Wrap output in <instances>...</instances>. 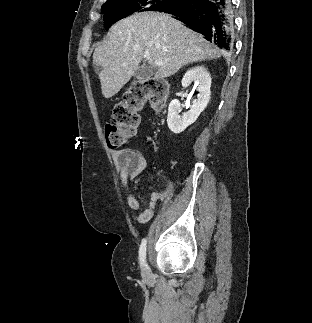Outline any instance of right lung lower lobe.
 Wrapping results in <instances>:
<instances>
[{
    "instance_id": "obj_1",
    "label": "right lung lower lobe",
    "mask_w": 312,
    "mask_h": 323,
    "mask_svg": "<svg viewBox=\"0 0 312 323\" xmlns=\"http://www.w3.org/2000/svg\"><path fill=\"white\" fill-rule=\"evenodd\" d=\"M230 0H183L162 10L225 51L233 46V17Z\"/></svg>"
}]
</instances>
